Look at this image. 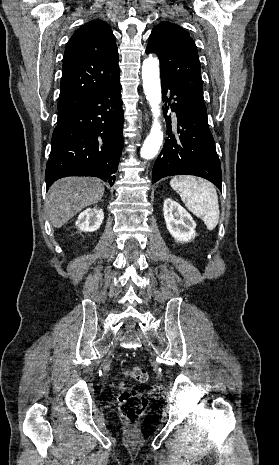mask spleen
<instances>
[{
  "label": "spleen",
  "instance_id": "3e777b00",
  "mask_svg": "<svg viewBox=\"0 0 279 465\" xmlns=\"http://www.w3.org/2000/svg\"><path fill=\"white\" fill-rule=\"evenodd\" d=\"M171 187L180 195L187 208L200 217L208 230H213L219 220V204L215 187L192 176L174 177Z\"/></svg>",
  "mask_w": 279,
  "mask_h": 465
}]
</instances>
